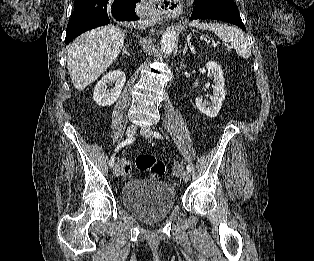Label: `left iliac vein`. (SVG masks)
Returning a JSON list of instances; mask_svg holds the SVG:
<instances>
[{
	"instance_id": "4c4485c4",
	"label": "left iliac vein",
	"mask_w": 314,
	"mask_h": 261,
	"mask_svg": "<svg viewBox=\"0 0 314 261\" xmlns=\"http://www.w3.org/2000/svg\"><path fill=\"white\" fill-rule=\"evenodd\" d=\"M141 134L145 137V138H151L152 137V130L150 127H143L140 130ZM182 178L184 179V181L188 182L190 180V174L187 170H184L182 172Z\"/></svg>"
}]
</instances>
